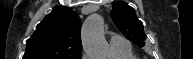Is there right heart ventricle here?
Listing matches in <instances>:
<instances>
[{
	"label": "right heart ventricle",
	"mask_w": 193,
	"mask_h": 59,
	"mask_svg": "<svg viewBox=\"0 0 193 59\" xmlns=\"http://www.w3.org/2000/svg\"><path fill=\"white\" fill-rule=\"evenodd\" d=\"M115 54L118 57V59H135V56L131 49L115 51Z\"/></svg>",
	"instance_id": "obj_1"
}]
</instances>
